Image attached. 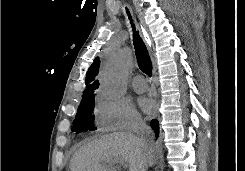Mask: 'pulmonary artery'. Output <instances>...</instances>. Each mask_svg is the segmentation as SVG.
Here are the masks:
<instances>
[{
	"instance_id": "1",
	"label": "pulmonary artery",
	"mask_w": 245,
	"mask_h": 171,
	"mask_svg": "<svg viewBox=\"0 0 245 171\" xmlns=\"http://www.w3.org/2000/svg\"><path fill=\"white\" fill-rule=\"evenodd\" d=\"M132 87L137 93H143L147 90V83L142 76L138 75L133 78Z\"/></svg>"
}]
</instances>
